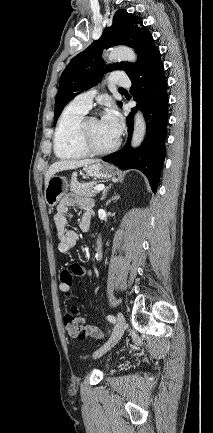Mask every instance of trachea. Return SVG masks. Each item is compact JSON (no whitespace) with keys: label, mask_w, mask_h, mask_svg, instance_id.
<instances>
[{"label":"trachea","mask_w":213,"mask_h":433,"mask_svg":"<svg viewBox=\"0 0 213 433\" xmlns=\"http://www.w3.org/2000/svg\"><path fill=\"white\" fill-rule=\"evenodd\" d=\"M119 90H124L123 88H119Z\"/></svg>","instance_id":"trachea-1"}]
</instances>
